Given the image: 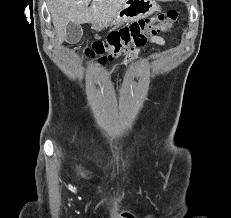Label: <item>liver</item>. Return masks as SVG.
I'll return each mask as SVG.
<instances>
[{
    "label": "liver",
    "instance_id": "obj_1",
    "mask_svg": "<svg viewBox=\"0 0 231 218\" xmlns=\"http://www.w3.org/2000/svg\"><path fill=\"white\" fill-rule=\"evenodd\" d=\"M48 0V8L59 44L66 39L69 22L102 24L110 22L126 0Z\"/></svg>",
    "mask_w": 231,
    "mask_h": 218
}]
</instances>
